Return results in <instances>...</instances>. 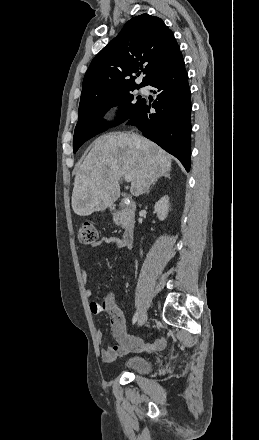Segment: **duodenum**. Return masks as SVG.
Here are the masks:
<instances>
[{"mask_svg": "<svg viewBox=\"0 0 259 440\" xmlns=\"http://www.w3.org/2000/svg\"><path fill=\"white\" fill-rule=\"evenodd\" d=\"M136 209V205L134 202H129L123 208L114 207L113 210L117 215H122L126 221V227L123 231L122 239L127 247L132 246L134 241V226H133V216Z\"/></svg>", "mask_w": 259, "mask_h": 440, "instance_id": "duodenum-1", "label": "duodenum"}]
</instances>
